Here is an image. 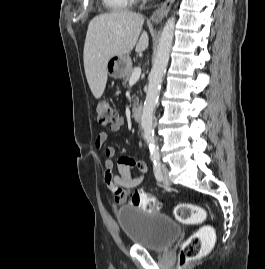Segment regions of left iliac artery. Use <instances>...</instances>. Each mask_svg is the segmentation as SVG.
<instances>
[{"label":"left iliac artery","instance_id":"44dca946","mask_svg":"<svg viewBox=\"0 0 265 269\" xmlns=\"http://www.w3.org/2000/svg\"><path fill=\"white\" fill-rule=\"evenodd\" d=\"M153 171H154V175H155L156 179L158 181H161L162 180V174H161V163H160L159 158H156L153 161Z\"/></svg>","mask_w":265,"mask_h":269}]
</instances>
